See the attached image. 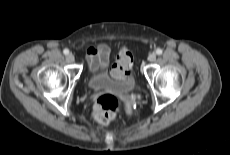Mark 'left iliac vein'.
I'll return each instance as SVG.
<instances>
[{
	"label": "left iliac vein",
	"mask_w": 230,
	"mask_h": 155,
	"mask_svg": "<svg viewBox=\"0 0 230 155\" xmlns=\"http://www.w3.org/2000/svg\"><path fill=\"white\" fill-rule=\"evenodd\" d=\"M150 62H154L156 60V54L155 53H151L148 57Z\"/></svg>",
	"instance_id": "obj_1"
}]
</instances>
